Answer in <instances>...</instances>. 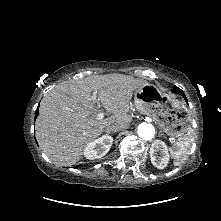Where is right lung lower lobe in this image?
Masks as SVG:
<instances>
[{"label":"right lung lower lobe","mask_w":221,"mask_h":221,"mask_svg":"<svg viewBox=\"0 0 221 221\" xmlns=\"http://www.w3.org/2000/svg\"><path fill=\"white\" fill-rule=\"evenodd\" d=\"M38 114H39V107L36 109L35 119H36V117L38 116Z\"/></svg>","instance_id":"98d812e1"}]
</instances>
